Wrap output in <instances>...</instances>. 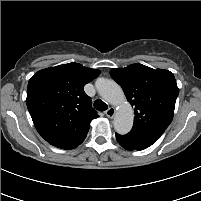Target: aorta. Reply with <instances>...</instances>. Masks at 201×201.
Returning a JSON list of instances; mask_svg holds the SVG:
<instances>
[{"mask_svg": "<svg viewBox=\"0 0 201 201\" xmlns=\"http://www.w3.org/2000/svg\"><path fill=\"white\" fill-rule=\"evenodd\" d=\"M96 88L105 101L117 107L114 118L115 131L121 135L129 133L133 126L134 113L120 85L114 80L100 78L96 81Z\"/></svg>", "mask_w": 201, "mask_h": 201, "instance_id": "obj_1", "label": "aorta"}]
</instances>
